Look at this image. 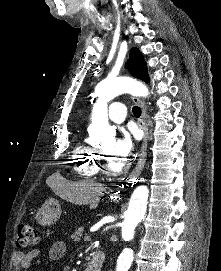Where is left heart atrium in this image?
I'll use <instances>...</instances> for the list:
<instances>
[{"mask_svg": "<svg viewBox=\"0 0 221 271\" xmlns=\"http://www.w3.org/2000/svg\"><path fill=\"white\" fill-rule=\"evenodd\" d=\"M134 140L141 138V133L138 131H132L131 135L124 133L122 135L123 142H114V148H111V157H130V151L136 146Z\"/></svg>", "mask_w": 221, "mask_h": 271, "instance_id": "left-heart-atrium-1", "label": "left heart atrium"}]
</instances>
